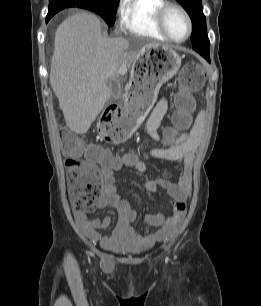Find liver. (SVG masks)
I'll return each mask as SVG.
<instances>
[{
    "mask_svg": "<svg viewBox=\"0 0 261 306\" xmlns=\"http://www.w3.org/2000/svg\"><path fill=\"white\" fill-rule=\"evenodd\" d=\"M151 46L159 44L136 47L127 38L103 37L99 19L88 12L69 16L58 26L50 83L71 131H88L111 96L108 79L117 78L121 67ZM130 48L133 51L127 53Z\"/></svg>",
    "mask_w": 261,
    "mask_h": 306,
    "instance_id": "liver-1",
    "label": "liver"
}]
</instances>
